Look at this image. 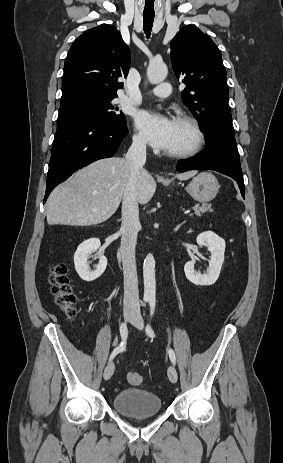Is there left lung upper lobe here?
<instances>
[{
  "instance_id": "obj_1",
  "label": "left lung upper lobe",
  "mask_w": 283,
  "mask_h": 463,
  "mask_svg": "<svg viewBox=\"0 0 283 463\" xmlns=\"http://www.w3.org/2000/svg\"><path fill=\"white\" fill-rule=\"evenodd\" d=\"M171 61L177 78L186 85L182 100L199 119L207 145H221L238 153L229 89L221 53L194 25L182 27L171 41Z\"/></svg>"
}]
</instances>
